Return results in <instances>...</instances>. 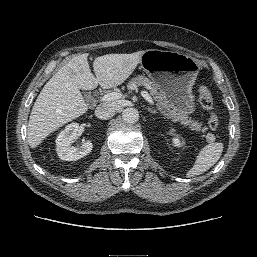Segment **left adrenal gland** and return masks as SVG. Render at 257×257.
Listing matches in <instances>:
<instances>
[{
	"instance_id": "a2214340",
	"label": "left adrenal gland",
	"mask_w": 257,
	"mask_h": 257,
	"mask_svg": "<svg viewBox=\"0 0 257 257\" xmlns=\"http://www.w3.org/2000/svg\"><path fill=\"white\" fill-rule=\"evenodd\" d=\"M147 110H148V112H151V113H154V114H156V113H157V111H156V110H153V109H151V108H148Z\"/></svg>"
}]
</instances>
